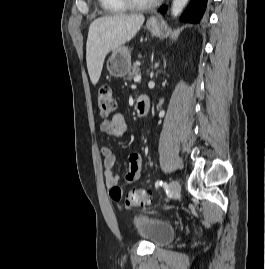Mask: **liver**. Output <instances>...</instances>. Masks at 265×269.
Here are the masks:
<instances>
[{"instance_id":"liver-1","label":"liver","mask_w":265,"mask_h":269,"mask_svg":"<svg viewBox=\"0 0 265 269\" xmlns=\"http://www.w3.org/2000/svg\"><path fill=\"white\" fill-rule=\"evenodd\" d=\"M144 20L142 14L114 15L97 18L90 24L86 62L93 85L99 81L106 55L134 38Z\"/></svg>"}]
</instances>
